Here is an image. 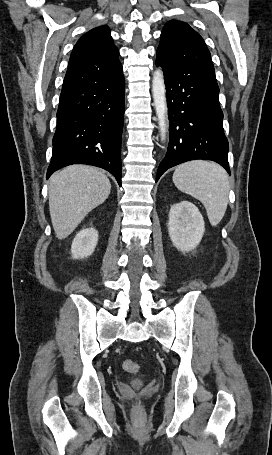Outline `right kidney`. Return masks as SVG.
Instances as JSON below:
<instances>
[{
    "mask_svg": "<svg viewBox=\"0 0 272 455\" xmlns=\"http://www.w3.org/2000/svg\"><path fill=\"white\" fill-rule=\"evenodd\" d=\"M98 232L95 228H85L79 231L73 239L71 253L74 259L90 256L97 245Z\"/></svg>",
    "mask_w": 272,
    "mask_h": 455,
    "instance_id": "right-kidney-1",
    "label": "right kidney"
}]
</instances>
